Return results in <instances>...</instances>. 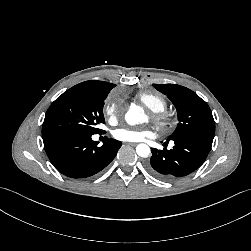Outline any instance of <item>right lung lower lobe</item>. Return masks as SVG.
<instances>
[{"instance_id":"right-lung-lower-lobe-1","label":"right lung lower lobe","mask_w":251,"mask_h":251,"mask_svg":"<svg viewBox=\"0 0 251 251\" xmlns=\"http://www.w3.org/2000/svg\"><path fill=\"white\" fill-rule=\"evenodd\" d=\"M92 135L57 134L43 138L53 166L73 179H86L103 170L116 156L121 142L107 139L102 146Z\"/></svg>"}]
</instances>
